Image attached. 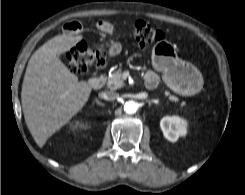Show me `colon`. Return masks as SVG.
<instances>
[{"mask_svg": "<svg viewBox=\"0 0 245 195\" xmlns=\"http://www.w3.org/2000/svg\"><path fill=\"white\" fill-rule=\"evenodd\" d=\"M134 36L142 47L154 44L163 39V33L154 29L145 21H137L134 26ZM109 55V46H91L81 43L67 53L66 58L70 70L75 74H84L93 66L104 65Z\"/></svg>", "mask_w": 245, "mask_h": 195, "instance_id": "colon-1", "label": "colon"}]
</instances>
